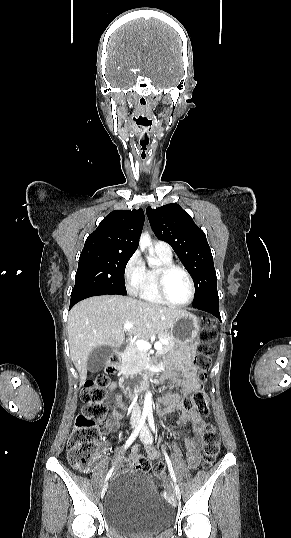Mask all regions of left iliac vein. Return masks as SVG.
Wrapping results in <instances>:
<instances>
[{
	"label": "left iliac vein",
	"mask_w": 291,
	"mask_h": 538,
	"mask_svg": "<svg viewBox=\"0 0 291 538\" xmlns=\"http://www.w3.org/2000/svg\"><path fill=\"white\" fill-rule=\"evenodd\" d=\"M140 438H141V440L144 442V444L146 446H149L153 441L152 436L150 434V431H149V429H148V427L146 425H144L143 428H142ZM175 494H176L177 499L180 500L181 491H180L178 485H175Z\"/></svg>",
	"instance_id": "4c4485c4"
}]
</instances>
